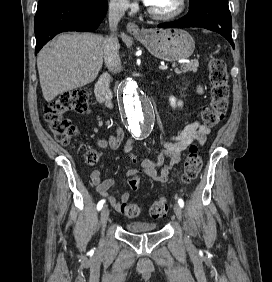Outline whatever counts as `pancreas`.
Instances as JSON below:
<instances>
[{
  "instance_id": "1",
  "label": "pancreas",
  "mask_w": 272,
  "mask_h": 282,
  "mask_svg": "<svg viewBox=\"0 0 272 282\" xmlns=\"http://www.w3.org/2000/svg\"><path fill=\"white\" fill-rule=\"evenodd\" d=\"M198 60H194L191 63L181 65L180 69L176 68L175 73L181 74V73H186V72H196L198 68Z\"/></svg>"
}]
</instances>
